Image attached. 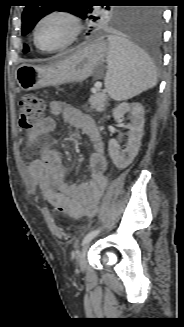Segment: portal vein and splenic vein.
Returning <instances> with one entry per match:
<instances>
[{"mask_svg":"<svg viewBox=\"0 0 184 327\" xmlns=\"http://www.w3.org/2000/svg\"><path fill=\"white\" fill-rule=\"evenodd\" d=\"M101 87H102V84L100 82L95 83L94 88L92 89V92L100 90Z\"/></svg>","mask_w":184,"mask_h":327,"instance_id":"1","label":"portal vein and splenic vein"}]
</instances>
